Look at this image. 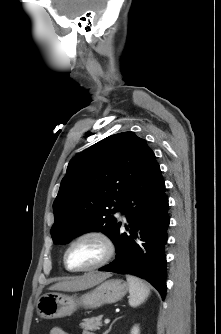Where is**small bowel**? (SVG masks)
<instances>
[{
  "instance_id": "obj_1",
  "label": "small bowel",
  "mask_w": 221,
  "mask_h": 334,
  "mask_svg": "<svg viewBox=\"0 0 221 334\" xmlns=\"http://www.w3.org/2000/svg\"><path fill=\"white\" fill-rule=\"evenodd\" d=\"M49 334H69V333H67L61 327L55 326L50 330ZM82 334H94V333L89 331H84Z\"/></svg>"
}]
</instances>
